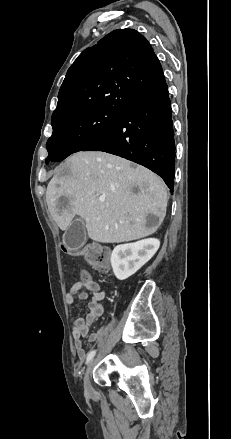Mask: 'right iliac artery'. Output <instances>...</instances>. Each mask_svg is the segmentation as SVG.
Returning <instances> with one entry per match:
<instances>
[{
	"instance_id": "right-iliac-artery-1",
	"label": "right iliac artery",
	"mask_w": 231,
	"mask_h": 439,
	"mask_svg": "<svg viewBox=\"0 0 231 439\" xmlns=\"http://www.w3.org/2000/svg\"><path fill=\"white\" fill-rule=\"evenodd\" d=\"M95 354H96V350L90 351L88 353L87 359H86V364H88L92 360V358L95 356Z\"/></svg>"
}]
</instances>
